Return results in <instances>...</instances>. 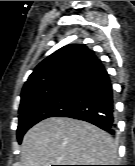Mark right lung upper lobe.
Listing matches in <instances>:
<instances>
[{
  "instance_id": "right-lung-upper-lobe-1",
  "label": "right lung upper lobe",
  "mask_w": 135,
  "mask_h": 166,
  "mask_svg": "<svg viewBox=\"0 0 135 166\" xmlns=\"http://www.w3.org/2000/svg\"><path fill=\"white\" fill-rule=\"evenodd\" d=\"M101 66L95 53L85 45H66L34 69L22 89L21 104L69 86Z\"/></svg>"
}]
</instances>
